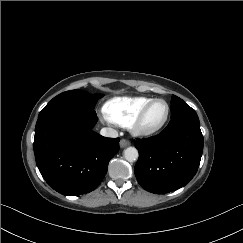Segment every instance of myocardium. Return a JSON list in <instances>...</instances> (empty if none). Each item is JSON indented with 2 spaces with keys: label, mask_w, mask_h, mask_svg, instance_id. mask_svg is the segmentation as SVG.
<instances>
[{
  "label": "myocardium",
  "mask_w": 243,
  "mask_h": 243,
  "mask_svg": "<svg viewBox=\"0 0 243 243\" xmlns=\"http://www.w3.org/2000/svg\"><path fill=\"white\" fill-rule=\"evenodd\" d=\"M158 102H163L166 106L165 118L157 126L147 127L144 124L145 117H146L147 113L149 112V110L152 108V106L155 105ZM169 116H170V106H169L168 102L164 99H161V98L153 99L147 105H145L142 108V110L138 113V115L135 117V119L132 121V123L129 127H130L131 132L134 135L150 136V135H153V134L159 132L161 129H163V127L168 122Z\"/></svg>",
  "instance_id": "myocardium-1"
}]
</instances>
